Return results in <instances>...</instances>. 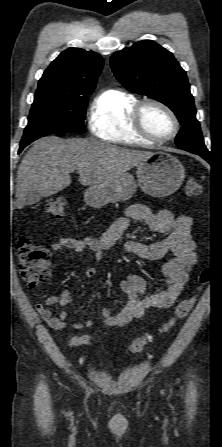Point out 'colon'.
<instances>
[{"instance_id":"obj_1","label":"colon","mask_w":222,"mask_h":447,"mask_svg":"<svg viewBox=\"0 0 222 447\" xmlns=\"http://www.w3.org/2000/svg\"><path fill=\"white\" fill-rule=\"evenodd\" d=\"M185 193L187 196L195 197L201 193V186L194 178L186 182ZM67 199L64 197H55L47 201L45 212L57 219L64 218L67 215ZM16 251L18 254V267L23 282L30 288H34L49 280L51 252L43 245L35 244L26 237H21L16 242ZM211 279L210 268H205L200 275L202 285L207 284ZM196 302L195 297L186 298L180 301L172 315L163 322L157 329V333H165L175 326V324L184 319L192 310ZM150 335L144 334L132 341L130 351L134 354L140 353Z\"/></svg>"}]
</instances>
